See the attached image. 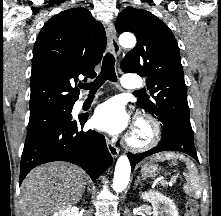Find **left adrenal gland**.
I'll return each instance as SVG.
<instances>
[{
  "label": "left adrenal gland",
  "instance_id": "a2214340",
  "mask_svg": "<svg viewBox=\"0 0 221 216\" xmlns=\"http://www.w3.org/2000/svg\"><path fill=\"white\" fill-rule=\"evenodd\" d=\"M141 177L140 176H138L137 177V180L135 181V186H134V189L138 186V184L141 182Z\"/></svg>",
  "mask_w": 221,
  "mask_h": 216
}]
</instances>
